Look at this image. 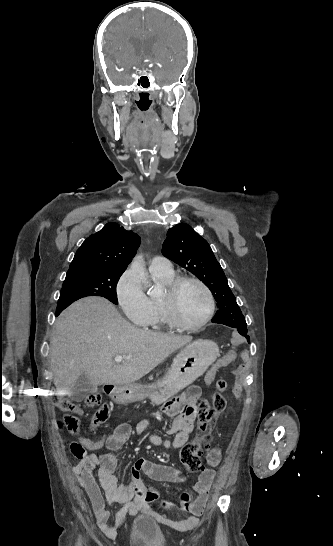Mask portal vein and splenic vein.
<instances>
[{
  "label": "portal vein and splenic vein",
  "mask_w": 333,
  "mask_h": 546,
  "mask_svg": "<svg viewBox=\"0 0 333 546\" xmlns=\"http://www.w3.org/2000/svg\"><path fill=\"white\" fill-rule=\"evenodd\" d=\"M130 359V356H127V357H123V356H120V355H116L115 358H114V361L117 362V363H120L124 360H128Z\"/></svg>",
  "instance_id": "obj_1"
}]
</instances>
